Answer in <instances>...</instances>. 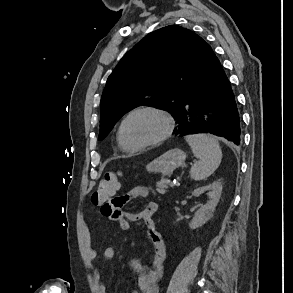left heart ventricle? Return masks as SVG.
I'll return each mask as SVG.
<instances>
[{
  "label": "left heart ventricle",
  "mask_w": 293,
  "mask_h": 293,
  "mask_svg": "<svg viewBox=\"0 0 293 293\" xmlns=\"http://www.w3.org/2000/svg\"><path fill=\"white\" fill-rule=\"evenodd\" d=\"M164 121L156 114L141 112L133 115L125 125L129 143L138 145L157 138L164 129Z\"/></svg>",
  "instance_id": "left-heart-ventricle-1"
}]
</instances>
